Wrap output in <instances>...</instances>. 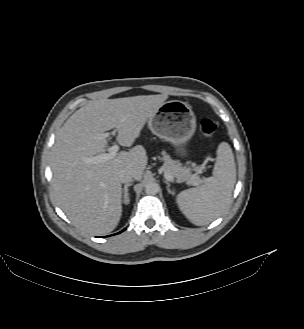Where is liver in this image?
<instances>
[{"label":"liver","mask_w":304,"mask_h":329,"mask_svg":"<svg viewBox=\"0 0 304 329\" xmlns=\"http://www.w3.org/2000/svg\"><path fill=\"white\" fill-rule=\"evenodd\" d=\"M167 98L159 94L91 101L58 131L51 156L52 187L59 207L77 228L91 235L113 231L122 214L118 174L130 170L139 181L148 160L141 145L102 163L85 159L106 150L104 134L111 129L121 146L133 145Z\"/></svg>","instance_id":"obj_1"}]
</instances>
